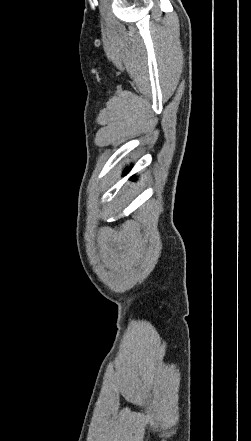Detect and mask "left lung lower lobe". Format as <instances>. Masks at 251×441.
Here are the masks:
<instances>
[{
    "instance_id": "1",
    "label": "left lung lower lobe",
    "mask_w": 251,
    "mask_h": 441,
    "mask_svg": "<svg viewBox=\"0 0 251 441\" xmlns=\"http://www.w3.org/2000/svg\"><path fill=\"white\" fill-rule=\"evenodd\" d=\"M128 172V170H126L125 172H124V174H126Z\"/></svg>"
}]
</instances>
